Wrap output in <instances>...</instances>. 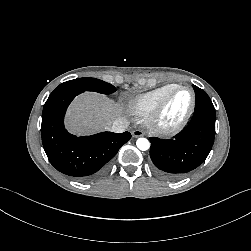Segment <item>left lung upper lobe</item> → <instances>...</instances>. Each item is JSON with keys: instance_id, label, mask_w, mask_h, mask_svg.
<instances>
[{"instance_id": "5c2ea615", "label": "left lung upper lobe", "mask_w": 251, "mask_h": 251, "mask_svg": "<svg viewBox=\"0 0 251 251\" xmlns=\"http://www.w3.org/2000/svg\"><path fill=\"white\" fill-rule=\"evenodd\" d=\"M193 88H194V91L196 94L195 111L196 110H205L208 112L215 113V108H214L209 96L199 87L194 85Z\"/></svg>"}]
</instances>
